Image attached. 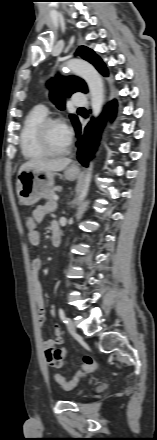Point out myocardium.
Masks as SVG:
<instances>
[{"mask_svg": "<svg viewBox=\"0 0 157 440\" xmlns=\"http://www.w3.org/2000/svg\"><path fill=\"white\" fill-rule=\"evenodd\" d=\"M53 124H62L59 119L56 118H46L44 119L36 128L35 138L38 145L46 152L48 155L61 156L68 154L72 148V142L70 141L68 146L61 150H55L50 146L48 141L47 131L48 128Z\"/></svg>", "mask_w": 157, "mask_h": 440, "instance_id": "obj_1", "label": "myocardium"}]
</instances>
